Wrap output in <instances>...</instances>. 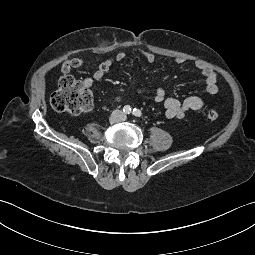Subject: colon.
<instances>
[{
  "label": "colon",
  "instance_id": "obj_1",
  "mask_svg": "<svg viewBox=\"0 0 255 255\" xmlns=\"http://www.w3.org/2000/svg\"><path fill=\"white\" fill-rule=\"evenodd\" d=\"M50 104L58 112L79 115L92 108L93 95L80 80L64 75L58 79V87L51 94ZM206 116L211 121L219 118L218 112L212 108L207 109Z\"/></svg>",
  "mask_w": 255,
  "mask_h": 255
}]
</instances>
